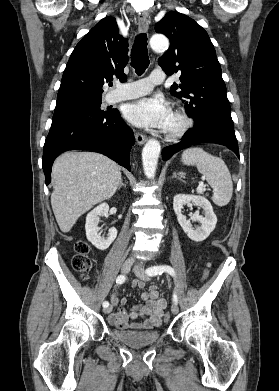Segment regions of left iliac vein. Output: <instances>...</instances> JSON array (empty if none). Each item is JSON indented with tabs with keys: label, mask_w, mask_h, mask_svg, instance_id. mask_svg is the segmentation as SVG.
<instances>
[{
	"label": "left iliac vein",
	"mask_w": 279,
	"mask_h": 391,
	"mask_svg": "<svg viewBox=\"0 0 279 391\" xmlns=\"http://www.w3.org/2000/svg\"><path fill=\"white\" fill-rule=\"evenodd\" d=\"M133 271H134L135 275H136L139 279H141V280H143V281H148V280L150 279L149 276L146 275L144 269H143L140 265H135V266L133 267ZM171 312H172L173 314H177V313L179 312V308H178L177 304H173V305H172V307H171Z\"/></svg>",
	"instance_id": "left-iliac-vein-1"
}]
</instances>
